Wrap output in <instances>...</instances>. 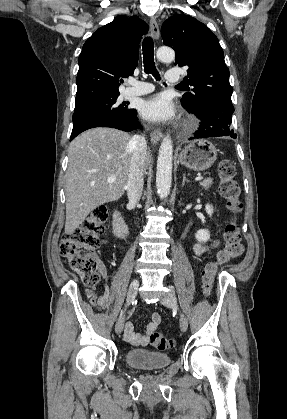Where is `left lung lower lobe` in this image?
I'll use <instances>...</instances> for the list:
<instances>
[{
    "mask_svg": "<svg viewBox=\"0 0 287 419\" xmlns=\"http://www.w3.org/2000/svg\"><path fill=\"white\" fill-rule=\"evenodd\" d=\"M190 112L200 119V126L189 140L220 136L236 138V134L230 127L234 112L231 100H208L202 105L200 110Z\"/></svg>",
    "mask_w": 287,
    "mask_h": 419,
    "instance_id": "left-lung-lower-lobe-1",
    "label": "left lung lower lobe"
}]
</instances>
